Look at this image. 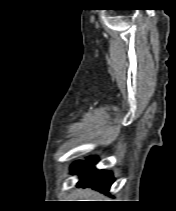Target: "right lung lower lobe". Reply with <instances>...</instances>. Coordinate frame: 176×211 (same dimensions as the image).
<instances>
[{"mask_svg":"<svg viewBox=\"0 0 176 211\" xmlns=\"http://www.w3.org/2000/svg\"><path fill=\"white\" fill-rule=\"evenodd\" d=\"M98 161L96 157H89L87 160L75 162L72 165L71 172L80 175L78 186L92 187L93 189L108 194L109 188L114 179L108 171H98L94 164Z\"/></svg>","mask_w":176,"mask_h":211,"instance_id":"right-lung-lower-lobe-1","label":"right lung lower lobe"}]
</instances>
